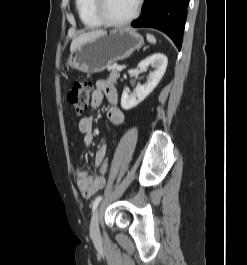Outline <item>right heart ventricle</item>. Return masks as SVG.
Instances as JSON below:
<instances>
[{
    "instance_id": "1",
    "label": "right heart ventricle",
    "mask_w": 247,
    "mask_h": 265,
    "mask_svg": "<svg viewBox=\"0 0 247 265\" xmlns=\"http://www.w3.org/2000/svg\"><path fill=\"white\" fill-rule=\"evenodd\" d=\"M75 6L81 22L88 28H98L103 24L93 10V0H75Z\"/></svg>"
}]
</instances>
